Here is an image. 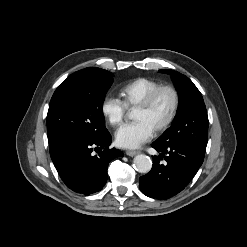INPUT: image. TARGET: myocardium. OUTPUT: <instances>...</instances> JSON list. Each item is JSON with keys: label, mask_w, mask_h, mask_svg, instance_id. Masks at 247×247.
Instances as JSON below:
<instances>
[{"label": "myocardium", "mask_w": 247, "mask_h": 247, "mask_svg": "<svg viewBox=\"0 0 247 247\" xmlns=\"http://www.w3.org/2000/svg\"><path fill=\"white\" fill-rule=\"evenodd\" d=\"M163 91H168L172 95V100H173L172 108H171V111H170L169 115L167 116V118L154 129L155 132H162V131L166 130L172 124L174 119L176 118V115L178 113L179 106H180V94H179L178 90L172 85H159L158 87L153 89L137 105V108L149 109L153 105L157 96Z\"/></svg>", "instance_id": "f54148a6"}]
</instances>
